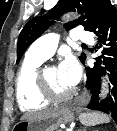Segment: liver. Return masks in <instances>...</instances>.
<instances>
[{"label": "liver", "mask_w": 117, "mask_h": 131, "mask_svg": "<svg viewBox=\"0 0 117 131\" xmlns=\"http://www.w3.org/2000/svg\"><path fill=\"white\" fill-rule=\"evenodd\" d=\"M56 110H57V108H51V109L42 110L39 112L27 113L22 116L21 120L42 118V117H45V116L55 112Z\"/></svg>", "instance_id": "1"}]
</instances>
